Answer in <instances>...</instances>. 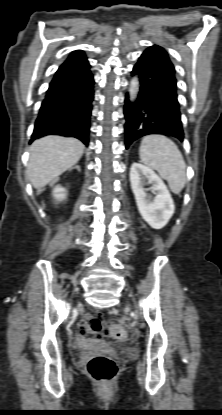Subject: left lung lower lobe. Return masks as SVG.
<instances>
[{
  "mask_svg": "<svg viewBox=\"0 0 222 415\" xmlns=\"http://www.w3.org/2000/svg\"><path fill=\"white\" fill-rule=\"evenodd\" d=\"M140 82L135 102L126 96L124 115L125 146L139 137L149 134L172 136L184 139L175 69L166 51L157 45L149 47L140 56L133 68Z\"/></svg>",
  "mask_w": 222,
  "mask_h": 415,
  "instance_id": "1",
  "label": "left lung lower lobe"
}]
</instances>
